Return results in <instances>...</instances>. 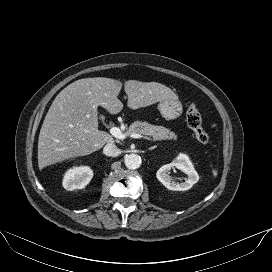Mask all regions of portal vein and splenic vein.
Wrapping results in <instances>:
<instances>
[{
  "label": "portal vein and splenic vein",
  "mask_w": 272,
  "mask_h": 272,
  "mask_svg": "<svg viewBox=\"0 0 272 272\" xmlns=\"http://www.w3.org/2000/svg\"><path fill=\"white\" fill-rule=\"evenodd\" d=\"M110 133H111L115 138L120 139V140H123V139H125V138L127 137V134H126V133H123V132H122L119 128H117V127H111V128H110ZM129 136L132 137V138H138V139L144 138V139H146V140L153 141L152 138L147 137V136H143V135L138 134V133H131Z\"/></svg>",
  "instance_id": "portal-vein-and-splenic-vein-1"
}]
</instances>
